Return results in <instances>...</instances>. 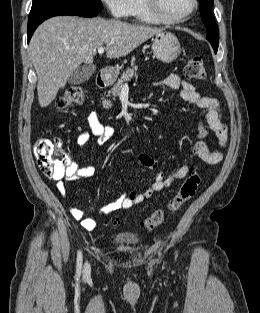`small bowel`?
<instances>
[{"label": "small bowel", "instance_id": "c3829d8e", "mask_svg": "<svg viewBox=\"0 0 260 313\" xmlns=\"http://www.w3.org/2000/svg\"><path fill=\"white\" fill-rule=\"evenodd\" d=\"M161 83L171 89L178 90L182 99L204 111V120L199 124L196 140L192 148V155L209 164L218 163L222 158L221 151H211L203 142V139L206 137L208 129H210L215 133L220 147L223 148L227 142L228 129L222 121L219 100L198 94L193 84L181 79L176 74L168 75ZM85 122L97 142L100 144L107 142L115 132L112 125H103L101 123L99 116L95 111H91L86 116ZM89 138V132L87 130H82L78 134L77 145L80 147L85 146L88 143ZM137 159L142 166L148 169H155L157 167L156 160L147 153H139ZM189 169L190 168L187 165H183L178 167L168 176H165L162 172H156L152 184L143 193L130 192L122 195L116 200L103 205L100 208V213L108 214L119 209H127L140 204L144 200L150 198L154 193L162 191L163 189L170 187L175 181L185 178ZM95 173L96 168L94 166H81L78 162L74 161L71 156L69 157V166L65 173L68 181L89 179L93 177ZM56 187L59 193L64 198H67V190L64 181H58ZM69 211L72 217L79 221L83 228L86 230L95 229L96 221L91 218H86L83 210L70 204Z\"/></svg>", "mask_w": 260, "mask_h": 313}]
</instances>
